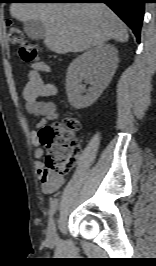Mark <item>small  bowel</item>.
<instances>
[{"label":"small bowel","mask_w":156,"mask_h":266,"mask_svg":"<svg viewBox=\"0 0 156 266\" xmlns=\"http://www.w3.org/2000/svg\"><path fill=\"white\" fill-rule=\"evenodd\" d=\"M45 70H47L45 65L35 64L29 74V80L24 89L26 110L36 118L34 129L30 133V140L36 148L35 156L37 158L43 155V150L40 147L39 131L45 127L48 121L58 118L56 105L50 101L40 100L41 97L51 96L56 92L54 86L46 84L42 80L39 71ZM35 167L42 190L45 194L56 192L64 184V177L48 172L40 160L35 162Z\"/></svg>","instance_id":"1"}]
</instances>
